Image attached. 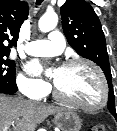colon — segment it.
<instances>
[{
	"instance_id": "colon-1",
	"label": "colon",
	"mask_w": 117,
	"mask_h": 131,
	"mask_svg": "<svg viewBox=\"0 0 117 131\" xmlns=\"http://www.w3.org/2000/svg\"><path fill=\"white\" fill-rule=\"evenodd\" d=\"M88 131H106V128L103 124H95Z\"/></svg>"
}]
</instances>
